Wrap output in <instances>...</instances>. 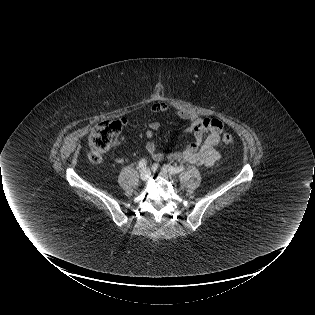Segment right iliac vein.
Returning <instances> with one entry per match:
<instances>
[{"instance_id":"right-iliac-vein-1","label":"right iliac vein","mask_w":315,"mask_h":315,"mask_svg":"<svg viewBox=\"0 0 315 315\" xmlns=\"http://www.w3.org/2000/svg\"><path fill=\"white\" fill-rule=\"evenodd\" d=\"M150 175H151V172L149 169L147 168H143L141 171H140V178L141 180H147L150 178Z\"/></svg>"}]
</instances>
